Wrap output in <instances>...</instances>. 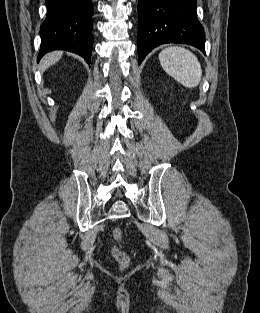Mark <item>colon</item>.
<instances>
[{
  "label": "colon",
  "instance_id": "5ec220e1",
  "mask_svg": "<svg viewBox=\"0 0 260 313\" xmlns=\"http://www.w3.org/2000/svg\"><path fill=\"white\" fill-rule=\"evenodd\" d=\"M123 236H124V233L122 229L120 228L113 229L112 237L115 242H118V243L121 242L123 240ZM112 255L114 259L118 262L120 269L123 270L129 266L130 257L125 251L121 250L118 247H114L112 249Z\"/></svg>",
  "mask_w": 260,
  "mask_h": 313
}]
</instances>
